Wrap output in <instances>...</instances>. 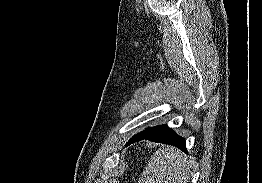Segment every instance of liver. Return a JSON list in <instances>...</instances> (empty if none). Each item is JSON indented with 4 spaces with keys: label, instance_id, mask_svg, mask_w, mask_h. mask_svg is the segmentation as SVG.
<instances>
[{
    "label": "liver",
    "instance_id": "liver-1",
    "mask_svg": "<svg viewBox=\"0 0 262 183\" xmlns=\"http://www.w3.org/2000/svg\"><path fill=\"white\" fill-rule=\"evenodd\" d=\"M187 156L173 146H162L151 156L138 183H188Z\"/></svg>",
    "mask_w": 262,
    "mask_h": 183
}]
</instances>
